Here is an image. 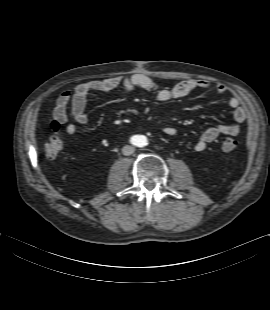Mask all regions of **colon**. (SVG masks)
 <instances>
[{"label":"colon","instance_id":"1","mask_svg":"<svg viewBox=\"0 0 270 310\" xmlns=\"http://www.w3.org/2000/svg\"><path fill=\"white\" fill-rule=\"evenodd\" d=\"M52 134L48 137L45 143V153L49 158L57 157L63 149V139L60 134V125L53 120L50 124ZM238 142L234 138H224L222 141V150L231 152L237 148Z\"/></svg>","mask_w":270,"mask_h":310}]
</instances>
